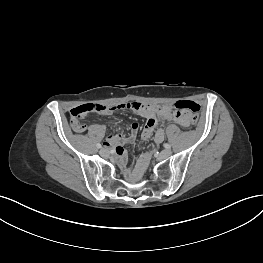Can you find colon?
Here are the masks:
<instances>
[{
    "label": "colon",
    "mask_w": 263,
    "mask_h": 263,
    "mask_svg": "<svg viewBox=\"0 0 263 263\" xmlns=\"http://www.w3.org/2000/svg\"><path fill=\"white\" fill-rule=\"evenodd\" d=\"M175 109L188 112L191 122L198 120L200 105L192 100H179L174 104ZM104 107L100 104L88 103L75 107L70 112L72 126L75 131L83 132L85 127L80 121L89 113L100 112Z\"/></svg>",
    "instance_id": "colon-1"
}]
</instances>
